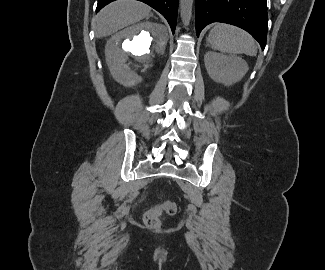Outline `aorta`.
<instances>
[{"label":"aorta","mask_w":325,"mask_h":270,"mask_svg":"<svg viewBox=\"0 0 325 270\" xmlns=\"http://www.w3.org/2000/svg\"><path fill=\"white\" fill-rule=\"evenodd\" d=\"M194 0H180V16L185 26H188L192 17Z\"/></svg>","instance_id":"762f6f07"}]
</instances>
